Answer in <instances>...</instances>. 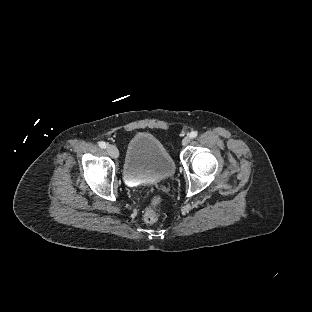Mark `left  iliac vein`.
I'll list each match as a JSON object with an SVG mask.
<instances>
[{
    "mask_svg": "<svg viewBox=\"0 0 312 312\" xmlns=\"http://www.w3.org/2000/svg\"><path fill=\"white\" fill-rule=\"evenodd\" d=\"M190 142V137L186 136L182 139V145L186 146Z\"/></svg>",
    "mask_w": 312,
    "mask_h": 312,
    "instance_id": "left-iliac-vein-1",
    "label": "left iliac vein"
}]
</instances>
